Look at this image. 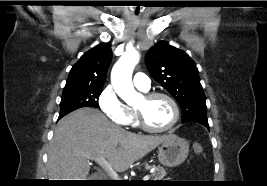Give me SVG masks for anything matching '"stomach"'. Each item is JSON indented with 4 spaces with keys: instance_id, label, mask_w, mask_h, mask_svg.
Listing matches in <instances>:
<instances>
[{
    "instance_id": "1",
    "label": "stomach",
    "mask_w": 267,
    "mask_h": 186,
    "mask_svg": "<svg viewBox=\"0 0 267 186\" xmlns=\"http://www.w3.org/2000/svg\"><path fill=\"white\" fill-rule=\"evenodd\" d=\"M189 143L177 135L170 134L158 147L159 162L167 167L182 164L188 156Z\"/></svg>"
}]
</instances>
